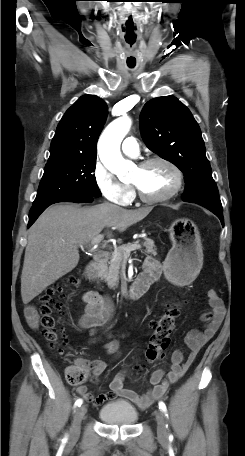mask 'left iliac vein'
Segmentation results:
<instances>
[{"label":"left iliac vein","instance_id":"4c4485c4","mask_svg":"<svg viewBox=\"0 0 245 456\" xmlns=\"http://www.w3.org/2000/svg\"><path fill=\"white\" fill-rule=\"evenodd\" d=\"M155 417L157 422V436L160 441H166L168 433L166 430V422L163 412L160 410H156Z\"/></svg>","mask_w":245,"mask_h":456}]
</instances>
